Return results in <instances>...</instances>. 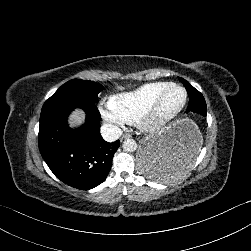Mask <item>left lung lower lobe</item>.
<instances>
[{"instance_id": "obj_1", "label": "left lung lower lobe", "mask_w": 251, "mask_h": 251, "mask_svg": "<svg viewBox=\"0 0 251 251\" xmlns=\"http://www.w3.org/2000/svg\"><path fill=\"white\" fill-rule=\"evenodd\" d=\"M186 112L206 116V103L190 93ZM196 147L191 133L182 139L150 142L141 151L138 167L147 179L162 182L181 172L191 161Z\"/></svg>"}]
</instances>
